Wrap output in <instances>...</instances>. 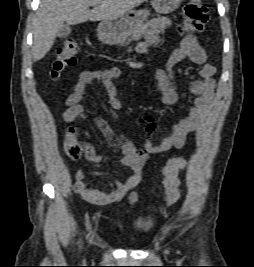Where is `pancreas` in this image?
I'll use <instances>...</instances> for the list:
<instances>
[{"mask_svg":"<svg viewBox=\"0 0 254 267\" xmlns=\"http://www.w3.org/2000/svg\"><path fill=\"white\" fill-rule=\"evenodd\" d=\"M144 33V26L140 25L132 34L131 38L128 40L130 42L131 40L140 39L142 34Z\"/></svg>","mask_w":254,"mask_h":267,"instance_id":"obj_1","label":"pancreas"}]
</instances>
